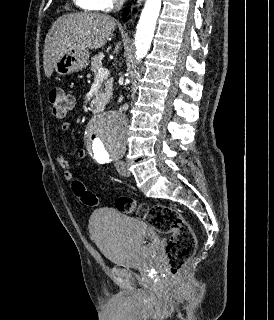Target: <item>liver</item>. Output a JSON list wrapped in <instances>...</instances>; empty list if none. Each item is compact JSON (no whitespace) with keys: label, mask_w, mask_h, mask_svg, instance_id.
<instances>
[{"label":"liver","mask_w":274,"mask_h":320,"mask_svg":"<svg viewBox=\"0 0 274 320\" xmlns=\"http://www.w3.org/2000/svg\"><path fill=\"white\" fill-rule=\"evenodd\" d=\"M116 28L107 14H65L54 22L44 44L43 68L51 78L54 64L68 50H98L105 46Z\"/></svg>","instance_id":"obj_1"}]
</instances>
